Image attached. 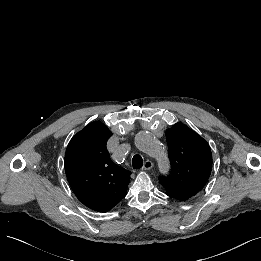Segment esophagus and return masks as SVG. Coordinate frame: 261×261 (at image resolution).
Segmentation results:
<instances>
[{
	"label": "esophagus",
	"instance_id": "obj_1",
	"mask_svg": "<svg viewBox=\"0 0 261 261\" xmlns=\"http://www.w3.org/2000/svg\"><path fill=\"white\" fill-rule=\"evenodd\" d=\"M153 167V163L150 160H147L143 165V170H149Z\"/></svg>",
	"mask_w": 261,
	"mask_h": 261
}]
</instances>
